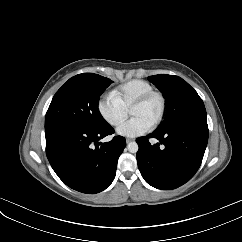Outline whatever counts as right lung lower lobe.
<instances>
[{"mask_svg":"<svg viewBox=\"0 0 242 242\" xmlns=\"http://www.w3.org/2000/svg\"><path fill=\"white\" fill-rule=\"evenodd\" d=\"M113 133L109 124L100 129L70 123L49 126L45 128L47 158L67 186L87 194L101 192L114 180L126 146L122 136L99 142Z\"/></svg>","mask_w":242,"mask_h":242,"instance_id":"obj_1","label":"right lung lower lobe"}]
</instances>
